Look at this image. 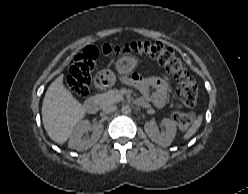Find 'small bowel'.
Wrapping results in <instances>:
<instances>
[{"label":"small bowel","instance_id":"1","mask_svg":"<svg viewBox=\"0 0 248 194\" xmlns=\"http://www.w3.org/2000/svg\"><path fill=\"white\" fill-rule=\"evenodd\" d=\"M129 83L141 93V104L151 102L156 107H163L167 103L169 84L163 78L158 76L142 77L132 75Z\"/></svg>","mask_w":248,"mask_h":194}]
</instances>
